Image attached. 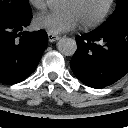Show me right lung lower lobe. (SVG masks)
Masks as SVG:
<instances>
[{"label":"right lung lower lobe","instance_id":"98d812e1","mask_svg":"<svg viewBox=\"0 0 128 128\" xmlns=\"http://www.w3.org/2000/svg\"><path fill=\"white\" fill-rule=\"evenodd\" d=\"M31 17L17 22L0 21V82L15 84L36 69L48 43L45 31L21 32Z\"/></svg>","mask_w":128,"mask_h":128}]
</instances>
